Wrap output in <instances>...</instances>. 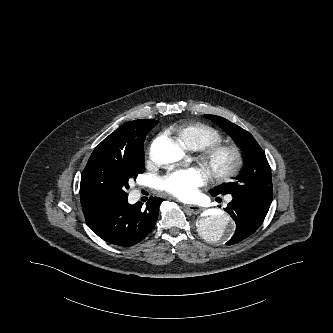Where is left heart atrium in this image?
Segmentation results:
<instances>
[{
	"label": "left heart atrium",
	"instance_id": "39dd6f15",
	"mask_svg": "<svg viewBox=\"0 0 333 333\" xmlns=\"http://www.w3.org/2000/svg\"><path fill=\"white\" fill-rule=\"evenodd\" d=\"M206 180V175L199 168L178 169L164 176L159 188L181 200H189L196 196L197 189Z\"/></svg>",
	"mask_w": 333,
	"mask_h": 333
}]
</instances>
